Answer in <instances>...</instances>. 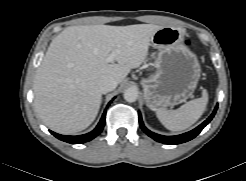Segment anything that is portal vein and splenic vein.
Here are the masks:
<instances>
[{
    "instance_id": "18ae733b",
    "label": "portal vein and splenic vein",
    "mask_w": 246,
    "mask_h": 181,
    "mask_svg": "<svg viewBox=\"0 0 246 181\" xmlns=\"http://www.w3.org/2000/svg\"><path fill=\"white\" fill-rule=\"evenodd\" d=\"M116 53H112L109 58H108V62H113L114 61V57H115Z\"/></svg>"
}]
</instances>
